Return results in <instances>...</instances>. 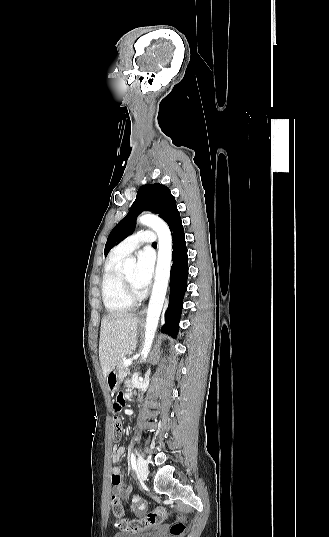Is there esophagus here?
Instances as JSON below:
<instances>
[{
    "label": "esophagus",
    "instance_id": "1",
    "mask_svg": "<svg viewBox=\"0 0 329 537\" xmlns=\"http://www.w3.org/2000/svg\"><path fill=\"white\" fill-rule=\"evenodd\" d=\"M145 312H146V308H143V309L141 310V312H140V315H141V316H144V315H145Z\"/></svg>",
    "mask_w": 329,
    "mask_h": 537
}]
</instances>
